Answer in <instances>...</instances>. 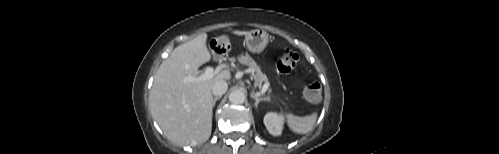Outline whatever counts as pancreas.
Here are the masks:
<instances>
[{
	"mask_svg": "<svg viewBox=\"0 0 499 154\" xmlns=\"http://www.w3.org/2000/svg\"><path fill=\"white\" fill-rule=\"evenodd\" d=\"M238 61L241 64L249 67V72L251 73L252 77L255 80V84L258 87H262L263 83H265L267 86L270 85L267 76L261 72L257 63L254 61L252 57H250L249 54L246 53L245 55H241L238 58Z\"/></svg>",
	"mask_w": 499,
	"mask_h": 154,
	"instance_id": "pancreas-1",
	"label": "pancreas"
}]
</instances>
